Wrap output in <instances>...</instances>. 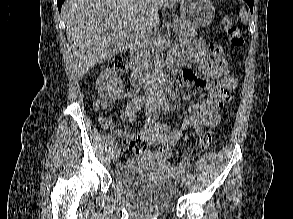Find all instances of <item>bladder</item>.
Here are the masks:
<instances>
[{"label":"bladder","instance_id":"obj_1","mask_svg":"<svg viewBox=\"0 0 293 219\" xmlns=\"http://www.w3.org/2000/svg\"><path fill=\"white\" fill-rule=\"evenodd\" d=\"M114 184L142 207L168 208L174 205L179 197L178 187L167 176L147 175L135 167L119 170L114 176Z\"/></svg>","mask_w":293,"mask_h":219}]
</instances>
